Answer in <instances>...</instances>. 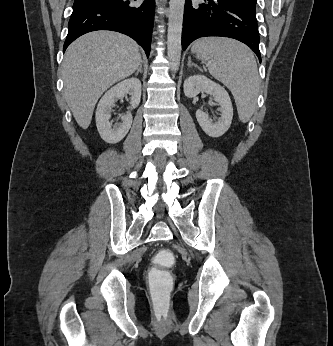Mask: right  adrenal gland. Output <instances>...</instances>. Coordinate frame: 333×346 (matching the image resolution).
Instances as JSON below:
<instances>
[{"mask_svg":"<svg viewBox=\"0 0 333 346\" xmlns=\"http://www.w3.org/2000/svg\"><path fill=\"white\" fill-rule=\"evenodd\" d=\"M139 72L142 73V62L140 63L135 75L137 76Z\"/></svg>","mask_w":333,"mask_h":346,"instance_id":"right-adrenal-gland-1","label":"right adrenal gland"}]
</instances>
